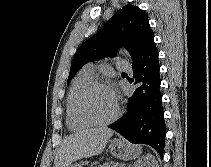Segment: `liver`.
I'll return each mask as SVG.
<instances>
[{
  "label": "liver",
  "mask_w": 211,
  "mask_h": 167,
  "mask_svg": "<svg viewBox=\"0 0 211 167\" xmlns=\"http://www.w3.org/2000/svg\"><path fill=\"white\" fill-rule=\"evenodd\" d=\"M113 130L101 127L79 131L66 137L59 147L54 167H68L73 162L100 154Z\"/></svg>",
  "instance_id": "1"
}]
</instances>
